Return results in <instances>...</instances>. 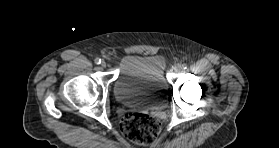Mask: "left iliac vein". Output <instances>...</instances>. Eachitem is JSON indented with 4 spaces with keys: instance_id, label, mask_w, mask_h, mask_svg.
I'll list each match as a JSON object with an SVG mask.
<instances>
[{
    "instance_id": "obj_1",
    "label": "left iliac vein",
    "mask_w": 279,
    "mask_h": 148,
    "mask_svg": "<svg viewBox=\"0 0 279 148\" xmlns=\"http://www.w3.org/2000/svg\"><path fill=\"white\" fill-rule=\"evenodd\" d=\"M183 68H182V65L181 64H176L175 66H174V71L175 72H179V71H181Z\"/></svg>"
}]
</instances>
